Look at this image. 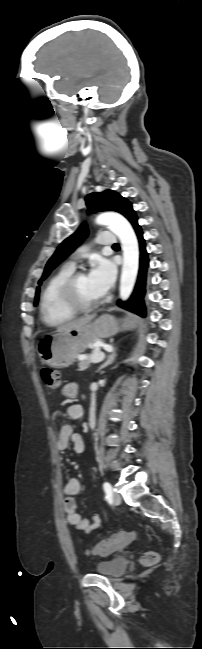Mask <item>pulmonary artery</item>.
Returning <instances> with one entry per match:
<instances>
[{"label":"pulmonary artery","mask_w":202,"mask_h":649,"mask_svg":"<svg viewBox=\"0 0 202 649\" xmlns=\"http://www.w3.org/2000/svg\"><path fill=\"white\" fill-rule=\"evenodd\" d=\"M117 239L115 235L112 232L109 231H104L100 232L97 236L96 243L102 246L106 247H112L114 244H116ZM68 265L74 266L73 262H69Z\"/></svg>","instance_id":"pulmonary-artery-1"}]
</instances>
